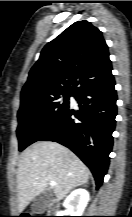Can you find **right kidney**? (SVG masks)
Listing matches in <instances>:
<instances>
[{
	"instance_id": "right-kidney-1",
	"label": "right kidney",
	"mask_w": 132,
	"mask_h": 217,
	"mask_svg": "<svg viewBox=\"0 0 132 217\" xmlns=\"http://www.w3.org/2000/svg\"><path fill=\"white\" fill-rule=\"evenodd\" d=\"M89 202V192L83 188L74 190L64 201L63 206L66 212H59L58 216L64 213L69 216H82Z\"/></svg>"
}]
</instances>
